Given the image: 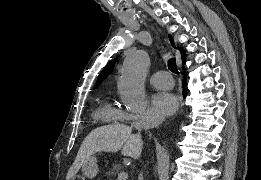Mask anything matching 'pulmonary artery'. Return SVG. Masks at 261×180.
<instances>
[{
    "label": "pulmonary artery",
    "mask_w": 261,
    "mask_h": 180,
    "mask_svg": "<svg viewBox=\"0 0 261 180\" xmlns=\"http://www.w3.org/2000/svg\"><path fill=\"white\" fill-rule=\"evenodd\" d=\"M172 76L167 71H158L149 76V82L158 87L168 88L172 86Z\"/></svg>",
    "instance_id": "1"
}]
</instances>
